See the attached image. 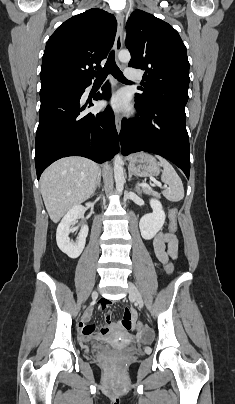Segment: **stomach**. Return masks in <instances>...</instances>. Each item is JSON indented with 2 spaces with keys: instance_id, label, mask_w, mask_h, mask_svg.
I'll return each mask as SVG.
<instances>
[{
  "instance_id": "1",
  "label": "stomach",
  "mask_w": 235,
  "mask_h": 404,
  "mask_svg": "<svg viewBox=\"0 0 235 404\" xmlns=\"http://www.w3.org/2000/svg\"><path fill=\"white\" fill-rule=\"evenodd\" d=\"M128 169L130 172L141 177H153L159 175L160 164L150 154L137 153L129 157Z\"/></svg>"
}]
</instances>
